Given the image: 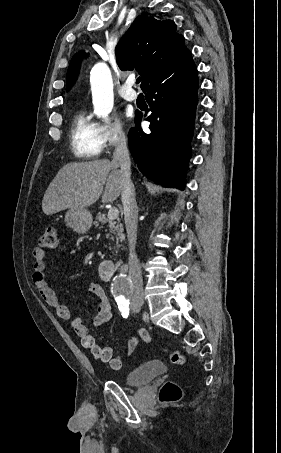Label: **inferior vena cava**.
<instances>
[{
    "label": "inferior vena cava",
    "instance_id": "1",
    "mask_svg": "<svg viewBox=\"0 0 281 453\" xmlns=\"http://www.w3.org/2000/svg\"><path fill=\"white\" fill-rule=\"evenodd\" d=\"M126 136L122 130H118L115 138V152H113L112 162H117L120 166L122 176L121 200L124 208V220L126 233L129 243V279L133 285L132 301H144L143 281L139 261L137 259L135 247L137 241V202L135 198V186L131 182V160L126 144Z\"/></svg>",
    "mask_w": 281,
    "mask_h": 453
}]
</instances>
